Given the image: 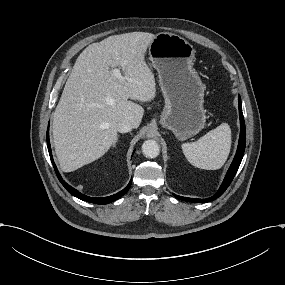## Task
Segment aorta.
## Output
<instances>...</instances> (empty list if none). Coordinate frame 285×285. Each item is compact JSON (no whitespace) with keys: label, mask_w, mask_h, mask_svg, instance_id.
I'll return each mask as SVG.
<instances>
[{"label":"aorta","mask_w":285,"mask_h":285,"mask_svg":"<svg viewBox=\"0 0 285 285\" xmlns=\"http://www.w3.org/2000/svg\"><path fill=\"white\" fill-rule=\"evenodd\" d=\"M142 152L147 158H156L159 155L160 147L155 140H146L142 145Z\"/></svg>","instance_id":"aorta-1"}]
</instances>
